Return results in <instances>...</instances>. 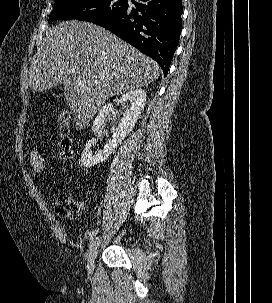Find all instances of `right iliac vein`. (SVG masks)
<instances>
[{"label":"right iliac vein","instance_id":"63e3f726","mask_svg":"<svg viewBox=\"0 0 272 303\" xmlns=\"http://www.w3.org/2000/svg\"><path fill=\"white\" fill-rule=\"evenodd\" d=\"M101 243L100 237H95L91 240L88 251H87V271L89 274L93 272L94 265H95V259L98 253L99 245Z\"/></svg>","mask_w":272,"mask_h":303}]
</instances>
